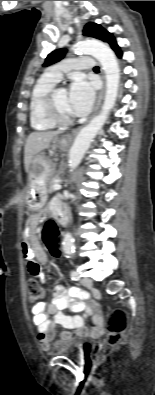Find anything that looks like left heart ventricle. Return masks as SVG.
Here are the masks:
<instances>
[{
	"mask_svg": "<svg viewBox=\"0 0 155 395\" xmlns=\"http://www.w3.org/2000/svg\"><path fill=\"white\" fill-rule=\"evenodd\" d=\"M56 106L59 113L65 117H71V113L69 110L68 104V91L65 89H61L56 94Z\"/></svg>",
	"mask_w": 155,
	"mask_h": 395,
	"instance_id": "left-heart-ventricle-1",
	"label": "left heart ventricle"
}]
</instances>
